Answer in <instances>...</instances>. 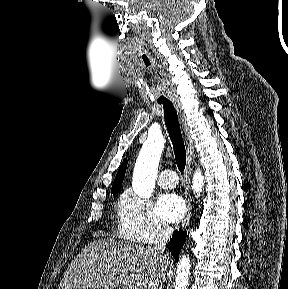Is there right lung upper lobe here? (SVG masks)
Listing matches in <instances>:
<instances>
[{
    "mask_svg": "<svg viewBox=\"0 0 288 289\" xmlns=\"http://www.w3.org/2000/svg\"><path fill=\"white\" fill-rule=\"evenodd\" d=\"M126 167H127V159H125L119 167L114 183L112 185L111 192L120 190L126 172Z\"/></svg>",
    "mask_w": 288,
    "mask_h": 289,
    "instance_id": "right-lung-upper-lobe-1",
    "label": "right lung upper lobe"
}]
</instances>
